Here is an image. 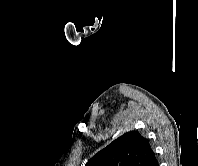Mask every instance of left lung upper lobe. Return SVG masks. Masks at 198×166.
Wrapping results in <instances>:
<instances>
[{
	"label": "left lung upper lobe",
	"instance_id": "obj_1",
	"mask_svg": "<svg viewBox=\"0 0 198 166\" xmlns=\"http://www.w3.org/2000/svg\"><path fill=\"white\" fill-rule=\"evenodd\" d=\"M155 160L149 140L130 131L99 151L86 166H151Z\"/></svg>",
	"mask_w": 198,
	"mask_h": 166
}]
</instances>
